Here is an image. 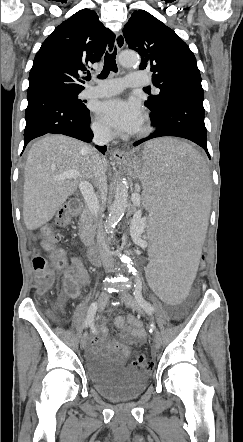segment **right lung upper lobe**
I'll return each mask as SVG.
<instances>
[{
  "mask_svg": "<svg viewBox=\"0 0 243 442\" xmlns=\"http://www.w3.org/2000/svg\"><path fill=\"white\" fill-rule=\"evenodd\" d=\"M114 41L115 35L95 11H78L43 42L33 61L27 92L44 88L82 91L80 75L101 59L107 46L111 50Z\"/></svg>",
  "mask_w": 243,
  "mask_h": 442,
  "instance_id": "right-lung-upper-lobe-1",
  "label": "right lung upper lobe"
}]
</instances>
